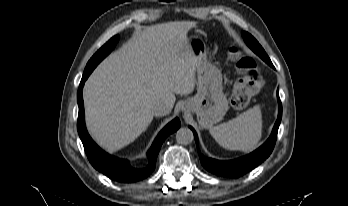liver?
<instances>
[{
  "label": "liver",
  "mask_w": 348,
  "mask_h": 206,
  "mask_svg": "<svg viewBox=\"0 0 348 206\" xmlns=\"http://www.w3.org/2000/svg\"><path fill=\"white\" fill-rule=\"evenodd\" d=\"M194 22L156 24L138 31L107 56L85 82L87 129L109 153L127 146L152 122L158 105L172 110L175 94L195 88L197 58L186 34Z\"/></svg>",
  "instance_id": "obj_1"
}]
</instances>
